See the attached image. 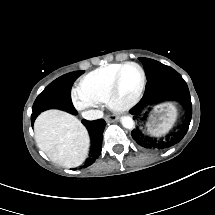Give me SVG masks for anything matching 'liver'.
Masks as SVG:
<instances>
[{
    "label": "liver",
    "mask_w": 215,
    "mask_h": 215,
    "mask_svg": "<svg viewBox=\"0 0 215 215\" xmlns=\"http://www.w3.org/2000/svg\"><path fill=\"white\" fill-rule=\"evenodd\" d=\"M34 137L47 157L63 167L77 168L88 157L89 132L75 115L67 111H42L34 121Z\"/></svg>",
    "instance_id": "liver-1"
}]
</instances>
